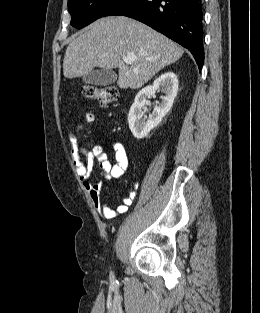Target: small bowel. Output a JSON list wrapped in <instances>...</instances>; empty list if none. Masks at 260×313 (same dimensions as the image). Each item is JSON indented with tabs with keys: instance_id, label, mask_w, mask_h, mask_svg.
<instances>
[{
	"instance_id": "1",
	"label": "small bowel",
	"mask_w": 260,
	"mask_h": 313,
	"mask_svg": "<svg viewBox=\"0 0 260 313\" xmlns=\"http://www.w3.org/2000/svg\"><path fill=\"white\" fill-rule=\"evenodd\" d=\"M68 142L76 174L80 177L82 186L88 193L95 210L101 217L109 220L115 219L119 215L125 213L136 196L138 183H135L133 190L122 199L121 203L115 208H111L102 201L100 195L102 182L89 179V171L91 167L90 161L84 162L78 156V140L74 130L68 132ZM112 148L114 150L115 163H111L105 154H101L98 159L101 167L102 180H112L121 177L129 165V158L125 147L121 143L113 141Z\"/></svg>"
}]
</instances>
